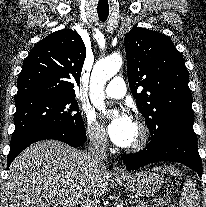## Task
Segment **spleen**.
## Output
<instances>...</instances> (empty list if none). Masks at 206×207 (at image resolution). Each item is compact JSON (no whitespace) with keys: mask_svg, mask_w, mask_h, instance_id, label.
<instances>
[{"mask_svg":"<svg viewBox=\"0 0 206 207\" xmlns=\"http://www.w3.org/2000/svg\"><path fill=\"white\" fill-rule=\"evenodd\" d=\"M154 171H158L165 174H170L172 176H181L180 170L176 169L172 166H159L153 169ZM180 207H200V196L197 188L195 185L187 181L184 184V187L181 192L180 200H179Z\"/></svg>","mask_w":206,"mask_h":207,"instance_id":"1","label":"spleen"}]
</instances>
